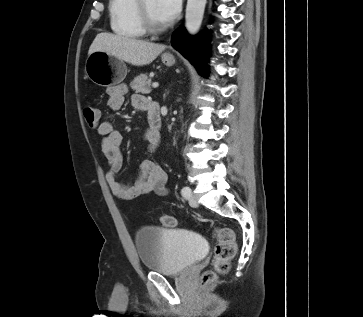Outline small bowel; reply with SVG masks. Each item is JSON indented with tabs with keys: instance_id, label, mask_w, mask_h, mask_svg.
<instances>
[{
	"instance_id": "1",
	"label": "small bowel",
	"mask_w": 363,
	"mask_h": 317,
	"mask_svg": "<svg viewBox=\"0 0 363 317\" xmlns=\"http://www.w3.org/2000/svg\"><path fill=\"white\" fill-rule=\"evenodd\" d=\"M126 92L127 89L124 85L111 87L108 91V106L112 110H119L123 106ZM131 102L136 109L147 111L149 101L144 96L134 94ZM97 132L102 136L100 150L109 165L106 180L115 196L122 200H131L150 193H155L160 196L168 194L166 173L149 157L142 161L139 177L134 183L121 182L118 174L123 163L121 145L124 137L120 131L114 128L113 123L108 120L100 122L97 127ZM153 148L154 146L151 145L148 154L153 152Z\"/></svg>"
}]
</instances>
